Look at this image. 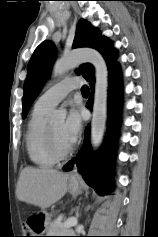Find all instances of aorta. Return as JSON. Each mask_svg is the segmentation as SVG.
I'll use <instances>...</instances> for the list:
<instances>
[{"mask_svg":"<svg viewBox=\"0 0 158 237\" xmlns=\"http://www.w3.org/2000/svg\"><path fill=\"white\" fill-rule=\"evenodd\" d=\"M82 62L91 63L95 69V90L91 122V145L96 151L103 140L107 119L108 98V69L102 55L93 49H79L65 54L57 60L52 68V75L60 76ZM66 117L64 111L57 110L53 113V122H62Z\"/></svg>","mask_w":158,"mask_h":237,"instance_id":"aorta-1","label":"aorta"}]
</instances>
